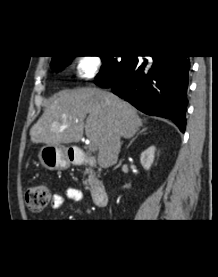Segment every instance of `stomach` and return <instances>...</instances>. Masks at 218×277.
<instances>
[{
  "mask_svg": "<svg viewBox=\"0 0 218 277\" xmlns=\"http://www.w3.org/2000/svg\"><path fill=\"white\" fill-rule=\"evenodd\" d=\"M41 165L48 170L67 169L70 160L63 146H43L38 154Z\"/></svg>",
  "mask_w": 218,
  "mask_h": 277,
  "instance_id": "1",
  "label": "stomach"
}]
</instances>
